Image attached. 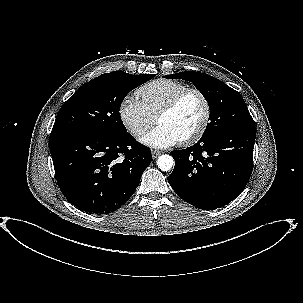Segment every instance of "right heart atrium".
Segmentation results:
<instances>
[{"instance_id":"1","label":"right heart atrium","mask_w":303,"mask_h":303,"mask_svg":"<svg viewBox=\"0 0 303 303\" xmlns=\"http://www.w3.org/2000/svg\"><path fill=\"white\" fill-rule=\"evenodd\" d=\"M119 117L130 134L139 138L155 123V117L151 115L141 100L127 95L119 105Z\"/></svg>"}]
</instances>
